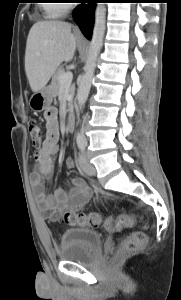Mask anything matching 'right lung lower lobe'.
Masks as SVG:
<instances>
[{
	"label": "right lung lower lobe",
	"mask_w": 181,
	"mask_h": 300,
	"mask_svg": "<svg viewBox=\"0 0 181 300\" xmlns=\"http://www.w3.org/2000/svg\"><path fill=\"white\" fill-rule=\"evenodd\" d=\"M96 0H89L87 6L80 5L73 11V18L80 26L84 36L91 39L93 24H94V11Z\"/></svg>",
	"instance_id": "obj_1"
}]
</instances>
